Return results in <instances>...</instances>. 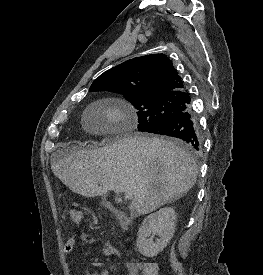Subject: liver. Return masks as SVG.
Here are the masks:
<instances>
[{
  "instance_id": "6515ba94",
  "label": "liver",
  "mask_w": 263,
  "mask_h": 275,
  "mask_svg": "<svg viewBox=\"0 0 263 275\" xmlns=\"http://www.w3.org/2000/svg\"><path fill=\"white\" fill-rule=\"evenodd\" d=\"M51 170L85 197L129 192L133 217L148 214L188 192L197 165L185 149L158 137L130 136L94 150L57 152Z\"/></svg>"
}]
</instances>
